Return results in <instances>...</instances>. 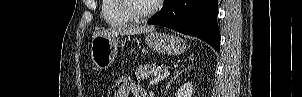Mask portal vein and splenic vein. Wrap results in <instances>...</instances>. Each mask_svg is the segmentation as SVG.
<instances>
[{"mask_svg":"<svg viewBox=\"0 0 302 97\" xmlns=\"http://www.w3.org/2000/svg\"><path fill=\"white\" fill-rule=\"evenodd\" d=\"M168 74H169V71L166 70V71L164 72V74H162L161 76L158 77V79H160V78H162V77H165V76L168 75ZM156 79H157V78H155V79L153 80V82L156 81Z\"/></svg>","mask_w":302,"mask_h":97,"instance_id":"portal-vein-and-splenic-vein-1","label":"portal vein and splenic vein"}]
</instances>
